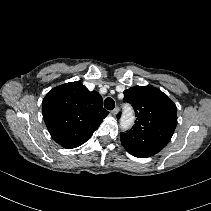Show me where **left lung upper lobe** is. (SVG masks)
Here are the masks:
<instances>
[{
    "label": "left lung upper lobe",
    "mask_w": 211,
    "mask_h": 211,
    "mask_svg": "<svg viewBox=\"0 0 211 211\" xmlns=\"http://www.w3.org/2000/svg\"><path fill=\"white\" fill-rule=\"evenodd\" d=\"M124 101L133 106L137 118L132 129L120 135L123 147L136 157L155 155L168 144L174 133L176 105L161 90L150 86L125 90Z\"/></svg>",
    "instance_id": "left-lung-upper-lobe-1"
}]
</instances>
